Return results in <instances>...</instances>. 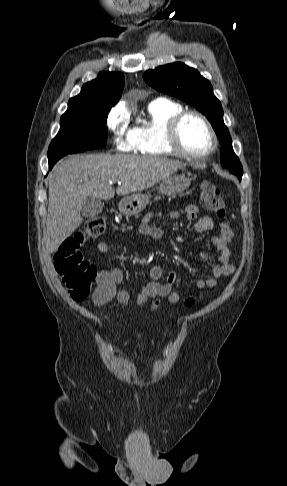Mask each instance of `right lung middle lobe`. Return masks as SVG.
<instances>
[{
    "label": "right lung middle lobe",
    "instance_id": "1",
    "mask_svg": "<svg viewBox=\"0 0 287 486\" xmlns=\"http://www.w3.org/2000/svg\"><path fill=\"white\" fill-rule=\"evenodd\" d=\"M111 107H71L62 115L60 130L48 149L49 164L63 156L103 148L107 143L106 120Z\"/></svg>",
    "mask_w": 287,
    "mask_h": 486
}]
</instances>
